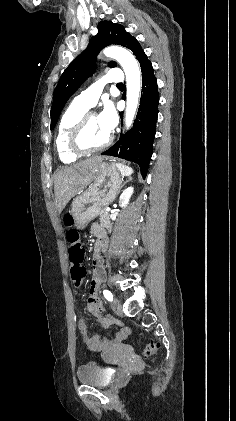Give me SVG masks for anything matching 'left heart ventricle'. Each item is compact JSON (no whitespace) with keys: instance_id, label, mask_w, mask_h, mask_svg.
I'll use <instances>...</instances> for the list:
<instances>
[{"instance_id":"obj_1","label":"left heart ventricle","mask_w":236,"mask_h":421,"mask_svg":"<svg viewBox=\"0 0 236 421\" xmlns=\"http://www.w3.org/2000/svg\"><path fill=\"white\" fill-rule=\"evenodd\" d=\"M109 134L103 126L99 115L93 114L89 117L83 128L82 141L85 146L94 147L102 144L108 138Z\"/></svg>"}]
</instances>
